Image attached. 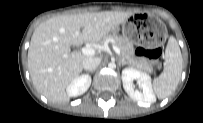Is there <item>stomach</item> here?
I'll return each instance as SVG.
<instances>
[{"instance_id":"1","label":"stomach","mask_w":203,"mask_h":123,"mask_svg":"<svg viewBox=\"0 0 203 123\" xmlns=\"http://www.w3.org/2000/svg\"><path fill=\"white\" fill-rule=\"evenodd\" d=\"M117 28L113 31H116ZM124 38L131 43L145 45L146 47L156 48L163 45L167 39V30L161 20L154 16L126 21L122 24Z\"/></svg>"}]
</instances>
